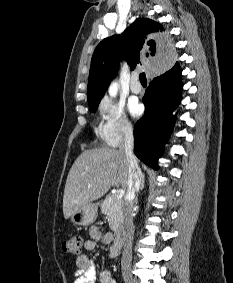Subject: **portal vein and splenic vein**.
I'll list each match as a JSON object with an SVG mask.
<instances>
[{
	"label": "portal vein and splenic vein",
	"mask_w": 233,
	"mask_h": 283,
	"mask_svg": "<svg viewBox=\"0 0 233 283\" xmlns=\"http://www.w3.org/2000/svg\"><path fill=\"white\" fill-rule=\"evenodd\" d=\"M123 195H124V190L123 189H119V190L116 191L115 197L117 199H121L123 197Z\"/></svg>",
	"instance_id": "1"
}]
</instances>
